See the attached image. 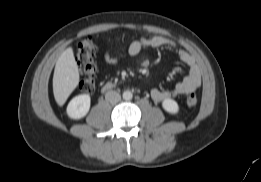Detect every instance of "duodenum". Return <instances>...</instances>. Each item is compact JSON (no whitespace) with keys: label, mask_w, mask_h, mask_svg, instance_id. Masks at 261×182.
<instances>
[{"label":"duodenum","mask_w":261,"mask_h":182,"mask_svg":"<svg viewBox=\"0 0 261 182\" xmlns=\"http://www.w3.org/2000/svg\"><path fill=\"white\" fill-rule=\"evenodd\" d=\"M113 88V84L112 83H105L102 87H101V91L102 92H107L108 90Z\"/></svg>","instance_id":"duodenum-1"}]
</instances>
